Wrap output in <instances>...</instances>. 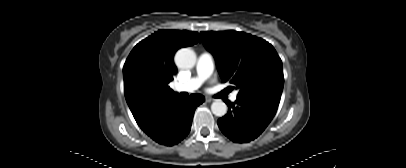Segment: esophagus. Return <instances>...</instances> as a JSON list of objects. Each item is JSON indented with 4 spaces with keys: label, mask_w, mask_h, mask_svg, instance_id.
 Masks as SVG:
<instances>
[{
    "label": "esophagus",
    "mask_w": 406,
    "mask_h": 168,
    "mask_svg": "<svg viewBox=\"0 0 406 168\" xmlns=\"http://www.w3.org/2000/svg\"><path fill=\"white\" fill-rule=\"evenodd\" d=\"M206 102L207 103H211V102H214L215 101V99H213V98H211V97H206Z\"/></svg>",
    "instance_id": "obj_1"
}]
</instances>
